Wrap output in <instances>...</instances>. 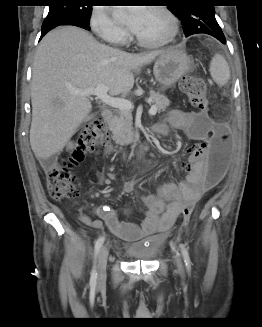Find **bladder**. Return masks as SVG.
<instances>
[{
    "label": "bladder",
    "instance_id": "31cf9c89",
    "mask_svg": "<svg viewBox=\"0 0 262 327\" xmlns=\"http://www.w3.org/2000/svg\"><path fill=\"white\" fill-rule=\"evenodd\" d=\"M166 235H152L123 247V255L129 262H152L166 242Z\"/></svg>",
    "mask_w": 262,
    "mask_h": 327
}]
</instances>
